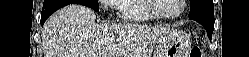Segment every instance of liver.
I'll return each instance as SVG.
<instances>
[{"label":"liver","mask_w":249,"mask_h":57,"mask_svg":"<svg viewBox=\"0 0 249 57\" xmlns=\"http://www.w3.org/2000/svg\"><path fill=\"white\" fill-rule=\"evenodd\" d=\"M95 20V12L80 4L67 5L51 15L43 27L44 57H151L158 37L166 31Z\"/></svg>","instance_id":"liver-1"}]
</instances>
